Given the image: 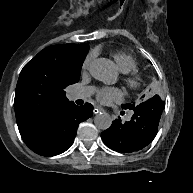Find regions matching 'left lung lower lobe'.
<instances>
[{
    "label": "left lung lower lobe",
    "mask_w": 193,
    "mask_h": 193,
    "mask_svg": "<svg viewBox=\"0 0 193 193\" xmlns=\"http://www.w3.org/2000/svg\"><path fill=\"white\" fill-rule=\"evenodd\" d=\"M164 104L156 96L135 107L129 122L113 121L102 132L103 142L117 152H136L147 146L155 137Z\"/></svg>",
    "instance_id": "left-lung-lower-lobe-1"
}]
</instances>
